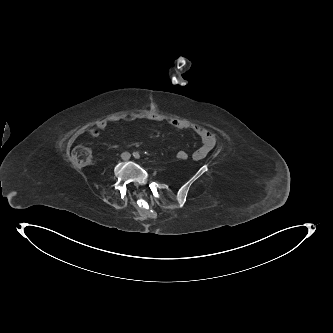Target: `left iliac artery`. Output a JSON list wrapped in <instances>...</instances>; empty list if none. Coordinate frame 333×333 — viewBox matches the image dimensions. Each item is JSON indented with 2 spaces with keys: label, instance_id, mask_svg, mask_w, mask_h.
<instances>
[{
  "label": "left iliac artery",
  "instance_id": "44dca946",
  "mask_svg": "<svg viewBox=\"0 0 333 333\" xmlns=\"http://www.w3.org/2000/svg\"><path fill=\"white\" fill-rule=\"evenodd\" d=\"M133 156H134L135 158H139V157H140L138 152H134V153H133Z\"/></svg>",
  "mask_w": 333,
  "mask_h": 333
}]
</instances>
